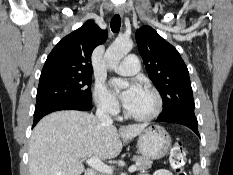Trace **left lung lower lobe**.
Returning <instances> with one entry per match:
<instances>
[{
  "instance_id": "left-lung-lower-lobe-1",
  "label": "left lung lower lobe",
  "mask_w": 233,
  "mask_h": 175,
  "mask_svg": "<svg viewBox=\"0 0 233 175\" xmlns=\"http://www.w3.org/2000/svg\"><path fill=\"white\" fill-rule=\"evenodd\" d=\"M156 121L171 122L187 126L200 137L198 132V122L195 114H175L167 117H158Z\"/></svg>"
}]
</instances>
